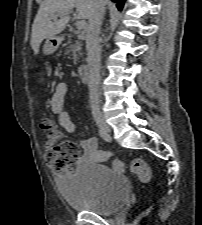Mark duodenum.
I'll use <instances>...</instances> for the list:
<instances>
[{
	"mask_svg": "<svg viewBox=\"0 0 202 225\" xmlns=\"http://www.w3.org/2000/svg\"><path fill=\"white\" fill-rule=\"evenodd\" d=\"M79 72H80V75H81L82 79L85 82H88L89 79H90V67H89V65L88 64L80 65Z\"/></svg>",
	"mask_w": 202,
	"mask_h": 225,
	"instance_id": "1",
	"label": "duodenum"
}]
</instances>
